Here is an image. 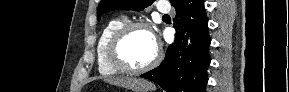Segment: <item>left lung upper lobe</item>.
<instances>
[{
  "label": "left lung upper lobe",
  "mask_w": 289,
  "mask_h": 92,
  "mask_svg": "<svg viewBox=\"0 0 289 92\" xmlns=\"http://www.w3.org/2000/svg\"><path fill=\"white\" fill-rule=\"evenodd\" d=\"M154 0H101L97 9L98 21L101 15L111 10L142 11L153 3ZM173 2L174 0H170Z\"/></svg>",
  "instance_id": "1"
}]
</instances>
